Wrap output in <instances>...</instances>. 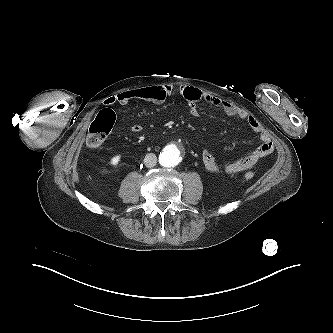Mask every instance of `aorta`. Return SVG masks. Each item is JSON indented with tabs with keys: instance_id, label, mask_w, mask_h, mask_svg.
I'll return each mask as SVG.
<instances>
[{
	"instance_id": "obj_1",
	"label": "aorta",
	"mask_w": 333,
	"mask_h": 333,
	"mask_svg": "<svg viewBox=\"0 0 333 333\" xmlns=\"http://www.w3.org/2000/svg\"><path fill=\"white\" fill-rule=\"evenodd\" d=\"M182 149L178 146L165 148L159 156V162L164 167H175L180 162Z\"/></svg>"
}]
</instances>
